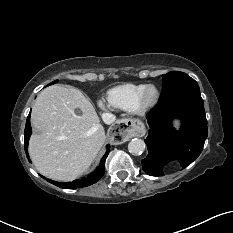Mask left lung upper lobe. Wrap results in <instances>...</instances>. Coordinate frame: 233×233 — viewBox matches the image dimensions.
I'll return each mask as SVG.
<instances>
[{
  "label": "left lung upper lobe",
  "instance_id": "left-lung-upper-lobe-1",
  "mask_svg": "<svg viewBox=\"0 0 233 233\" xmlns=\"http://www.w3.org/2000/svg\"><path fill=\"white\" fill-rule=\"evenodd\" d=\"M163 90L161 100L167 99L169 96L180 91L189 89H199L197 82L187 74L179 71H172L162 76Z\"/></svg>",
  "mask_w": 233,
  "mask_h": 233
}]
</instances>
